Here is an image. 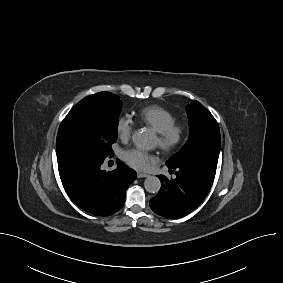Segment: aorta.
I'll list each match as a JSON object with an SVG mask.
<instances>
[{
  "instance_id": "1",
  "label": "aorta",
  "mask_w": 283,
  "mask_h": 283,
  "mask_svg": "<svg viewBox=\"0 0 283 283\" xmlns=\"http://www.w3.org/2000/svg\"><path fill=\"white\" fill-rule=\"evenodd\" d=\"M132 141L137 148L150 150L154 146L153 136L146 130H136L132 135ZM147 192L157 193L161 188V182L156 176H148L144 181Z\"/></svg>"
}]
</instances>
